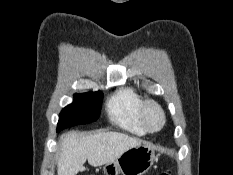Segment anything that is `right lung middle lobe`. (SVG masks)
Here are the masks:
<instances>
[{"label": "right lung middle lobe", "instance_id": "obj_1", "mask_svg": "<svg viewBox=\"0 0 233 175\" xmlns=\"http://www.w3.org/2000/svg\"><path fill=\"white\" fill-rule=\"evenodd\" d=\"M102 99L103 93L100 91L76 94L74 102L62 109L57 132L64 128L96 121L100 115Z\"/></svg>", "mask_w": 233, "mask_h": 175}]
</instances>
